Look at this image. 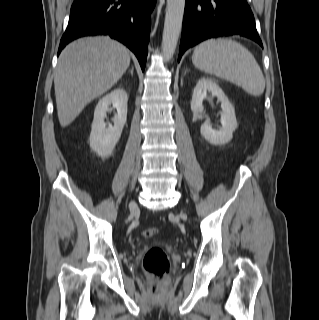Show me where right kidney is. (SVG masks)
Listing matches in <instances>:
<instances>
[{"instance_id":"ca27d5eb","label":"right kidney","mask_w":319,"mask_h":320,"mask_svg":"<svg viewBox=\"0 0 319 320\" xmlns=\"http://www.w3.org/2000/svg\"><path fill=\"white\" fill-rule=\"evenodd\" d=\"M127 102L128 95L126 91L122 88H117L102 97L96 105L89 141L91 149L102 158L113 152L121 137L127 119ZM110 105H113L117 110V114L113 119L114 125L109 124L107 127L104 119L106 112L110 110Z\"/></svg>"}]
</instances>
